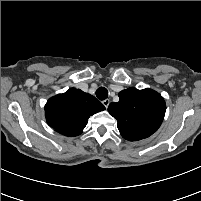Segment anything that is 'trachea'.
<instances>
[{"instance_id":"obj_1","label":"trachea","mask_w":201,"mask_h":201,"mask_svg":"<svg viewBox=\"0 0 201 201\" xmlns=\"http://www.w3.org/2000/svg\"><path fill=\"white\" fill-rule=\"evenodd\" d=\"M96 96L99 100H105L108 97V90L105 87H99Z\"/></svg>"}]
</instances>
